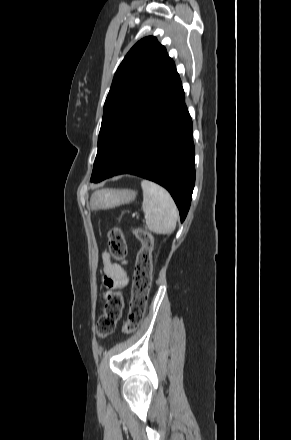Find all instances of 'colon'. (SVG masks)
Here are the masks:
<instances>
[{
  "mask_svg": "<svg viewBox=\"0 0 291 440\" xmlns=\"http://www.w3.org/2000/svg\"><path fill=\"white\" fill-rule=\"evenodd\" d=\"M141 242L134 268V285L128 319L123 326L126 333L134 331L142 322L146 310L147 299L152 284V254L154 242L152 237L140 230L134 232ZM108 245L114 259L123 260L127 255V245L122 230L115 226L108 233ZM122 299L119 292L108 296L103 313L96 323V331L100 337L112 333L121 316Z\"/></svg>",
  "mask_w": 291,
  "mask_h": 440,
  "instance_id": "obj_1",
  "label": "colon"
}]
</instances>
